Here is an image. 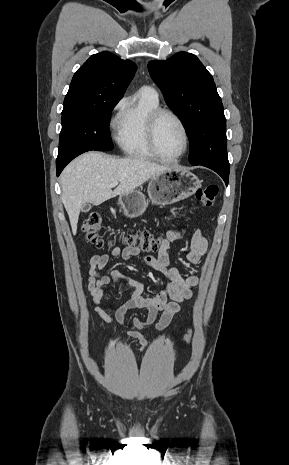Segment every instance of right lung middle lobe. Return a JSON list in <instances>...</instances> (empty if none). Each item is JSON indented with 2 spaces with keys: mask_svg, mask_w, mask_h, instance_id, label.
I'll return each instance as SVG.
<instances>
[{
  "mask_svg": "<svg viewBox=\"0 0 289 465\" xmlns=\"http://www.w3.org/2000/svg\"><path fill=\"white\" fill-rule=\"evenodd\" d=\"M119 102L111 100L81 110L62 113V130L56 162L72 160L90 150L111 149L109 116Z\"/></svg>",
  "mask_w": 289,
  "mask_h": 465,
  "instance_id": "1",
  "label": "right lung middle lobe"
}]
</instances>
